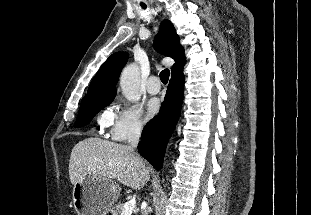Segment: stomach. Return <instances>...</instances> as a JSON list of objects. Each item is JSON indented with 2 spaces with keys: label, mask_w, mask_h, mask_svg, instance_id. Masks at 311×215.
<instances>
[{
  "label": "stomach",
  "mask_w": 311,
  "mask_h": 215,
  "mask_svg": "<svg viewBox=\"0 0 311 215\" xmlns=\"http://www.w3.org/2000/svg\"><path fill=\"white\" fill-rule=\"evenodd\" d=\"M119 193L116 182L84 174L74 184L73 204L78 215H107Z\"/></svg>",
  "instance_id": "stomach-1"
}]
</instances>
